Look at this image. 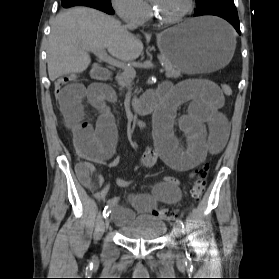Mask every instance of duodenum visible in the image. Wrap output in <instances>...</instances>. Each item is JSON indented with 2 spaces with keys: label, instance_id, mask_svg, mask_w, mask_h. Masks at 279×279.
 I'll return each instance as SVG.
<instances>
[{
  "label": "duodenum",
  "instance_id": "1",
  "mask_svg": "<svg viewBox=\"0 0 279 279\" xmlns=\"http://www.w3.org/2000/svg\"><path fill=\"white\" fill-rule=\"evenodd\" d=\"M91 76L95 79L106 81L110 76V71L105 68H95L91 72ZM159 104L157 99H153L149 96H141L133 101V110L140 115L148 114L155 109V105Z\"/></svg>",
  "mask_w": 279,
  "mask_h": 279
}]
</instances>
